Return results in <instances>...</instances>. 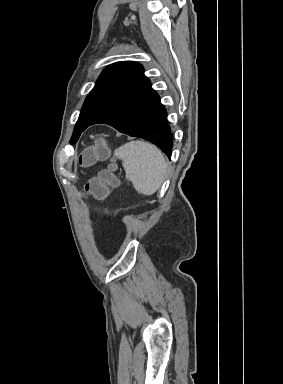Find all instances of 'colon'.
I'll return each mask as SVG.
<instances>
[{"instance_id": "obj_1", "label": "colon", "mask_w": 283, "mask_h": 384, "mask_svg": "<svg viewBox=\"0 0 283 384\" xmlns=\"http://www.w3.org/2000/svg\"><path fill=\"white\" fill-rule=\"evenodd\" d=\"M111 151L102 138H97L94 145L87 148L80 156V163L88 165L96 161L106 159L110 156ZM118 180L112 170H106L100 173L98 177L90 179L84 186V193L96 199H104L109 189L116 186Z\"/></svg>"}]
</instances>
